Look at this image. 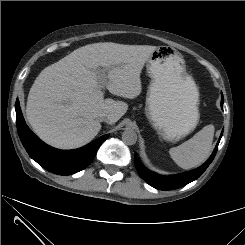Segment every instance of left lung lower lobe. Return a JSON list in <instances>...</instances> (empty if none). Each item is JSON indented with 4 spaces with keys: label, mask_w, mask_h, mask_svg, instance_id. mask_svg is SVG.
Masks as SVG:
<instances>
[{
    "label": "left lung lower lobe",
    "mask_w": 245,
    "mask_h": 245,
    "mask_svg": "<svg viewBox=\"0 0 245 245\" xmlns=\"http://www.w3.org/2000/svg\"><path fill=\"white\" fill-rule=\"evenodd\" d=\"M223 95L221 98V107L223 109ZM222 137V134L218 140V143L212 153V155L210 156V158L200 167H198L195 170L183 173V174H179V175H175V176H170V177H165V176H161L158 174H155L149 170H147L143 164L139 161L137 154H135L134 157V164L136 166V169L140 175V177L145 180L148 184H150L152 187L159 189V190H172V189H176V188H180L194 180H196L197 178H199L202 173L206 170V168L210 165V163L213 161L217 149H218V144L220 142V139Z\"/></svg>",
    "instance_id": "1"
}]
</instances>
